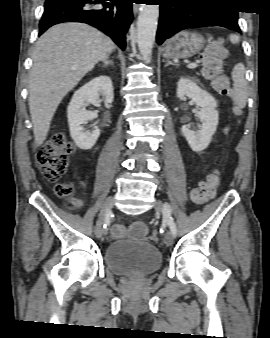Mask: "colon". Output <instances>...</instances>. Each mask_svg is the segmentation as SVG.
<instances>
[{
  "instance_id": "colon-1",
  "label": "colon",
  "mask_w": 270,
  "mask_h": 338,
  "mask_svg": "<svg viewBox=\"0 0 270 338\" xmlns=\"http://www.w3.org/2000/svg\"><path fill=\"white\" fill-rule=\"evenodd\" d=\"M228 47L225 43L217 41L209 43L201 54L202 74L207 77L212 87L219 93L229 95L227 77L222 73L220 63L227 57ZM74 145L64 135L59 134L45 142L36 153V162L42 176L50 182H58L66 173L69 155L73 152ZM222 177L219 171L212 172L205 181L191 192V199L195 204H202L211 198ZM72 187L64 182H58L55 193L58 197L70 196ZM77 207L76 204H74ZM152 240L157 241L158 235L153 234Z\"/></svg>"
}]
</instances>
